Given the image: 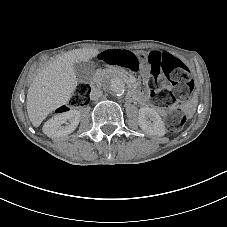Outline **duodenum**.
<instances>
[{
  "instance_id": "410a0bca",
  "label": "duodenum",
  "mask_w": 227,
  "mask_h": 227,
  "mask_svg": "<svg viewBox=\"0 0 227 227\" xmlns=\"http://www.w3.org/2000/svg\"><path fill=\"white\" fill-rule=\"evenodd\" d=\"M148 100H149V98L145 96V97L142 98V103H147Z\"/></svg>"
}]
</instances>
